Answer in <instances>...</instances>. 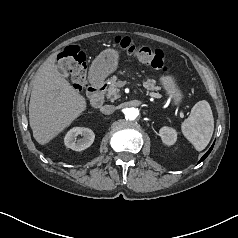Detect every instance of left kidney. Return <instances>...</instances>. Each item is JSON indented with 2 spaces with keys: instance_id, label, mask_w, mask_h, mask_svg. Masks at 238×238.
<instances>
[{
  "instance_id": "5707ae66",
  "label": "left kidney",
  "mask_w": 238,
  "mask_h": 238,
  "mask_svg": "<svg viewBox=\"0 0 238 238\" xmlns=\"http://www.w3.org/2000/svg\"><path fill=\"white\" fill-rule=\"evenodd\" d=\"M162 142L166 145H173L177 140V132L171 127L164 126L159 131Z\"/></svg>"
}]
</instances>
